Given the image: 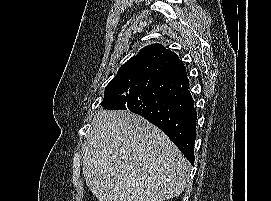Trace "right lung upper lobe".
Masks as SVG:
<instances>
[{
  "label": "right lung upper lobe",
  "mask_w": 271,
  "mask_h": 201,
  "mask_svg": "<svg viewBox=\"0 0 271 201\" xmlns=\"http://www.w3.org/2000/svg\"><path fill=\"white\" fill-rule=\"evenodd\" d=\"M171 53L170 50L164 48L161 44H151L140 50V52L130 58L124 65L119 69V73H126L135 70H149L152 66Z\"/></svg>",
  "instance_id": "obj_1"
}]
</instances>
